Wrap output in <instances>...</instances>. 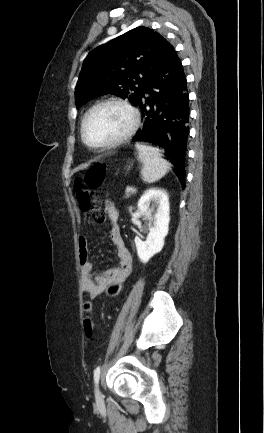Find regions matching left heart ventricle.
<instances>
[{"mask_svg": "<svg viewBox=\"0 0 264 433\" xmlns=\"http://www.w3.org/2000/svg\"><path fill=\"white\" fill-rule=\"evenodd\" d=\"M130 115L122 107L106 105L88 119L85 134L89 142L100 144L123 134L130 125Z\"/></svg>", "mask_w": 264, "mask_h": 433, "instance_id": "left-heart-ventricle-1", "label": "left heart ventricle"}]
</instances>
